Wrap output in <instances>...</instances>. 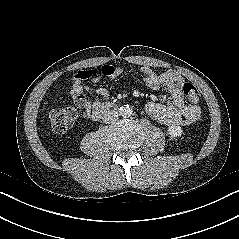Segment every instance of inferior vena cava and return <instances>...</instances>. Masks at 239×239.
<instances>
[{"instance_id": "inferior-vena-cava-1", "label": "inferior vena cava", "mask_w": 239, "mask_h": 239, "mask_svg": "<svg viewBox=\"0 0 239 239\" xmlns=\"http://www.w3.org/2000/svg\"><path fill=\"white\" fill-rule=\"evenodd\" d=\"M118 112L115 110H109L107 111L104 115H103V121L104 123L108 124V123H112L116 120H118Z\"/></svg>"}]
</instances>
